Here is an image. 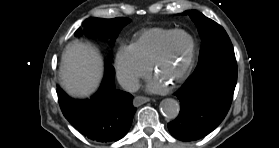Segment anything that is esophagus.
Instances as JSON below:
<instances>
[{"instance_id":"esophagus-1","label":"esophagus","mask_w":279,"mask_h":148,"mask_svg":"<svg viewBox=\"0 0 279 148\" xmlns=\"http://www.w3.org/2000/svg\"><path fill=\"white\" fill-rule=\"evenodd\" d=\"M149 101H150V98H148V97L136 96V97L134 98V100H133V105H134L135 107H138V106H140V105H142V104H144V103H147V102H149Z\"/></svg>"}]
</instances>
